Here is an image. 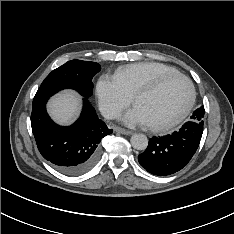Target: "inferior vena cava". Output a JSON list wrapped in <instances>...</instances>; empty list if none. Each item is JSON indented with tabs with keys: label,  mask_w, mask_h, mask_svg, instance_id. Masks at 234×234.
Returning <instances> with one entry per match:
<instances>
[{
	"label": "inferior vena cava",
	"mask_w": 234,
	"mask_h": 234,
	"mask_svg": "<svg viewBox=\"0 0 234 234\" xmlns=\"http://www.w3.org/2000/svg\"><path fill=\"white\" fill-rule=\"evenodd\" d=\"M102 115L107 119L117 118L120 114L116 110H106L102 112Z\"/></svg>",
	"instance_id": "1"
}]
</instances>
